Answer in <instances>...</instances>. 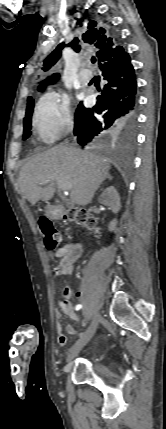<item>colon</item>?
<instances>
[{
    "instance_id": "colon-1",
    "label": "colon",
    "mask_w": 166,
    "mask_h": 429,
    "mask_svg": "<svg viewBox=\"0 0 166 429\" xmlns=\"http://www.w3.org/2000/svg\"><path fill=\"white\" fill-rule=\"evenodd\" d=\"M63 218L67 221L75 222L87 228H93L95 226L94 218L89 216L88 213L83 209L68 208L64 211ZM39 225L43 233L45 247L50 252H56L62 242L60 233L54 228L52 222L46 217H42L40 219Z\"/></svg>"
}]
</instances>
